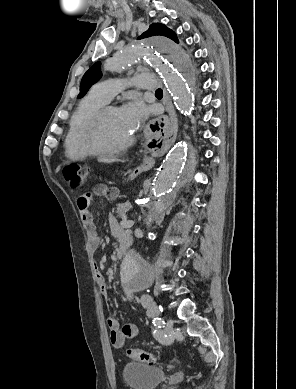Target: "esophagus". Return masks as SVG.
I'll return each mask as SVG.
<instances>
[{
  "mask_svg": "<svg viewBox=\"0 0 296 389\" xmlns=\"http://www.w3.org/2000/svg\"><path fill=\"white\" fill-rule=\"evenodd\" d=\"M166 98V110L164 117L160 121H155L152 118L147 122L146 126H143L141 134L143 139H162L165 131H170L171 126L176 118L175 110L172 105L171 99L165 91ZM175 125V122H174ZM154 161L152 158L145 156L143 163L136 169L141 172L152 167Z\"/></svg>",
  "mask_w": 296,
  "mask_h": 389,
  "instance_id": "esophagus-1",
  "label": "esophagus"
}]
</instances>
